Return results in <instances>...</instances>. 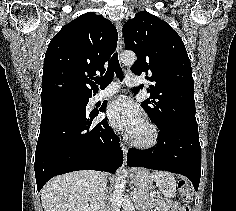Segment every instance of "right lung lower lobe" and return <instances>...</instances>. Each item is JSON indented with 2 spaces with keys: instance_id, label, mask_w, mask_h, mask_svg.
I'll use <instances>...</instances> for the list:
<instances>
[{
  "instance_id": "1",
  "label": "right lung lower lobe",
  "mask_w": 236,
  "mask_h": 211,
  "mask_svg": "<svg viewBox=\"0 0 236 211\" xmlns=\"http://www.w3.org/2000/svg\"><path fill=\"white\" fill-rule=\"evenodd\" d=\"M87 103L78 111L70 107L42 110L34 164L38 191L56 175L77 170L115 173L122 165L118 137L106 118L91 125L98 113L86 114Z\"/></svg>"
}]
</instances>
